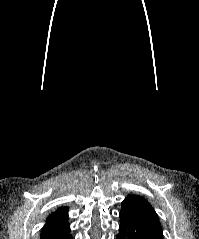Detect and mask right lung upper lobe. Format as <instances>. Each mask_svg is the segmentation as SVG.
<instances>
[{"label":"right lung upper lobe","mask_w":199,"mask_h":239,"mask_svg":"<svg viewBox=\"0 0 199 239\" xmlns=\"http://www.w3.org/2000/svg\"><path fill=\"white\" fill-rule=\"evenodd\" d=\"M68 216V208H62L59 209L58 211L52 213L48 218H47V222H53V221H57V220H61V219H65Z\"/></svg>","instance_id":"cb5924a9"}]
</instances>
